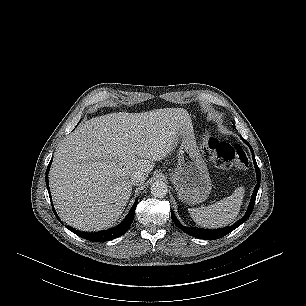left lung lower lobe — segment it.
<instances>
[{"instance_id": "obj_1", "label": "left lung lower lobe", "mask_w": 306, "mask_h": 306, "mask_svg": "<svg viewBox=\"0 0 306 306\" xmlns=\"http://www.w3.org/2000/svg\"><path fill=\"white\" fill-rule=\"evenodd\" d=\"M241 139L244 142L247 143V141L245 139H243L242 137H241ZM248 146L250 147L251 152H252V158H253L254 166H255V169H256V173H257L258 183H257V185L254 189V192L252 194L247 212L244 215V217L241 218L239 221H237L235 224H233L230 227H225V228L218 229V230H204V229H196V228H187V227L182 226L180 224V222L178 221V219L176 218L174 212H171V218H172V221L174 222L176 227H178L183 232H185L186 234L191 235L193 237H197V238L205 239V240H215V239L221 238V237L227 235L228 233L232 232L234 229L239 227L242 223H244L249 218V216L251 215V213L253 211L256 195H257V192H258V189H259V186H260V170H259V167L256 163L253 149L249 144H248Z\"/></svg>"}]
</instances>
